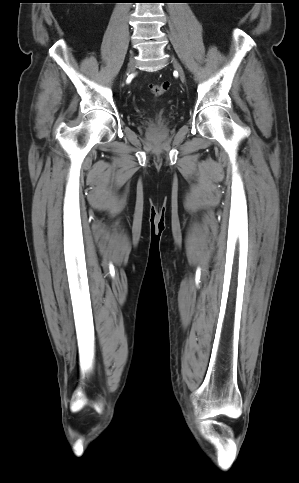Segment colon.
<instances>
[{
    "label": "colon",
    "mask_w": 299,
    "mask_h": 483,
    "mask_svg": "<svg viewBox=\"0 0 299 483\" xmlns=\"http://www.w3.org/2000/svg\"><path fill=\"white\" fill-rule=\"evenodd\" d=\"M169 87L170 85L167 82L152 84L151 93L154 97L158 98L164 95L169 90Z\"/></svg>",
    "instance_id": "1"
}]
</instances>
